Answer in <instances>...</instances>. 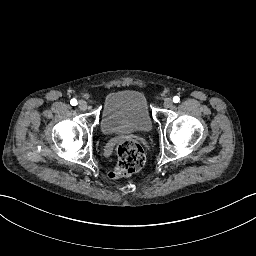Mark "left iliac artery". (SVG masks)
Masks as SVG:
<instances>
[{"instance_id":"left-iliac-artery-1","label":"left iliac artery","mask_w":256,"mask_h":256,"mask_svg":"<svg viewBox=\"0 0 256 256\" xmlns=\"http://www.w3.org/2000/svg\"><path fill=\"white\" fill-rule=\"evenodd\" d=\"M180 101V98L178 96L173 97V102L178 103Z\"/></svg>"}]
</instances>
